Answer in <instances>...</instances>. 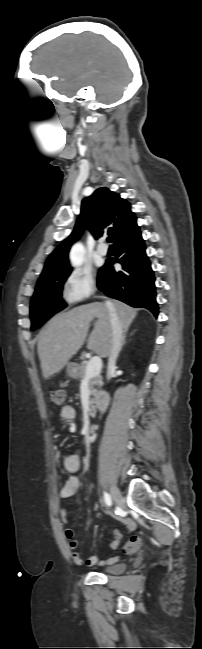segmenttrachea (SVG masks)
I'll return each instance as SVG.
<instances>
[{
	"label": "trachea",
	"instance_id": "trachea-1",
	"mask_svg": "<svg viewBox=\"0 0 202 649\" xmlns=\"http://www.w3.org/2000/svg\"><path fill=\"white\" fill-rule=\"evenodd\" d=\"M107 241L110 243V242L112 241V238H111V237H108V238H107Z\"/></svg>",
	"mask_w": 202,
	"mask_h": 649
}]
</instances>
